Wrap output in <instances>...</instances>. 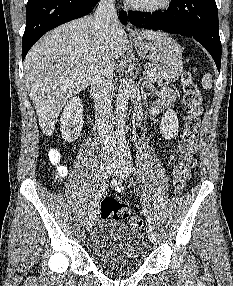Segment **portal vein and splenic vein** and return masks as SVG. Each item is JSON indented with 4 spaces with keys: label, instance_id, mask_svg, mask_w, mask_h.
<instances>
[{
    "label": "portal vein and splenic vein",
    "instance_id": "18ae733b",
    "mask_svg": "<svg viewBox=\"0 0 233 286\" xmlns=\"http://www.w3.org/2000/svg\"><path fill=\"white\" fill-rule=\"evenodd\" d=\"M143 73L146 75H152V74H150L149 70H145Z\"/></svg>",
    "mask_w": 233,
    "mask_h": 286
}]
</instances>
